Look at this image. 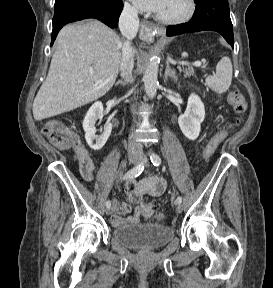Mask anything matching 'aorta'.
Returning a JSON list of instances; mask_svg holds the SVG:
<instances>
[{"label": "aorta", "mask_w": 273, "mask_h": 288, "mask_svg": "<svg viewBox=\"0 0 273 288\" xmlns=\"http://www.w3.org/2000/svg\"><path fill=\"white\" fill-rule=\"evenodd\" d=\"M158 70H159V61L157 57H153L148 62L144 76V86H145V92L149 98H154L157 91L158 86Z\"/></svg>", "instance_id": "obj_1"}]
</instances>
